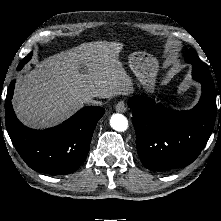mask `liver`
Returning <instances> with one entry per match:
<instances>
[{"label":"liver","instance_id":"liver-1","mask_svg":"<svg viewBox=\"0 0 221 221\" xmlns=\"http://www.w3.org/2000/svg\"><path fill=\"white\" fill-rule=\"evenodd\" d=\"M123 44L95 41L44 59L17 79L13 107L33 128H46L69 118L86 97L110 98L133 91L119 60Z\"/></svg>","mask_w":221,"mask_h":221}]
</instances>
